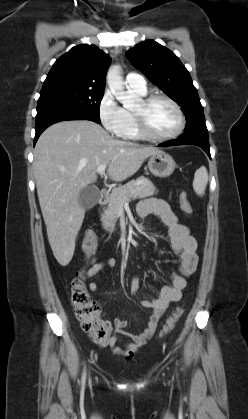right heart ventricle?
<instances>
[{
  "label": "right heart ventricle",
  "instance_id": "e07e8e85",
  "mask_svg": "<svg viewBox=\"0 0 248 419\" xmlns=\"http://www.w3.org/2000/svg\"><path fill=\"white\" fill-rule=\"evenodd\" d=\"M137 94L144 96L146 95V92H139L134 90ZM127 113V124L123 133V138L128 139V140H140L143 137L140 135V133L138 132L137 126H136V122H135V118L133 115L132 111L126 110Z\"/></svg>",
  "mask_w": 248,
  "mask_h": 419
}]
</instances>
